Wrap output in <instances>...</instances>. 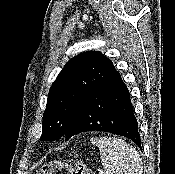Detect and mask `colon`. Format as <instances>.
Returning <instances> with one entry per match:
<instances>
[{
	"label": "colon",
	"instance_id": "obj_1",
	"mask_svg": "<svg viewBox=\"0 0 175 174\" xmlns=\"http://www.w3.org/2000/svg\"><path fill=\"white\" fill-rule=\"evenodd\" d=\"M66 170L69 174H94L93 171L76 157L67 160H51L44 164L38 174H58Z\"/></svg>",
	"mask_w": 175,
	"mask_h": 174
}]
</instances>
